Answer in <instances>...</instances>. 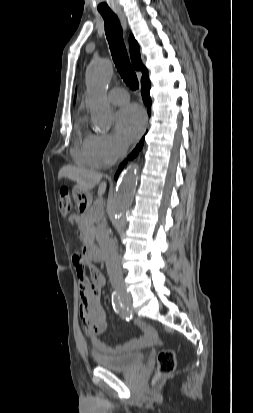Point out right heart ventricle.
Returning a JSON list of instances; mask_svg holds the SVG:
<instances>
[{"label": "right heart ventricle", "instance_id": "obj_1", "mask_svg": "<svg viewBox=\"0 0 253 413\" xmlns=\"http://www.w3.org/2000/svg\"><path fill=\"white\" fill-rule=\"evenodd\" d=\"M82 121H79L76 126V141L72 149L74 160L90 168H98L102 162L95 150L93 144V134L83 131Z\"/></svg>", "mask_w": 253, "mask_h": 413}]
</instances>
